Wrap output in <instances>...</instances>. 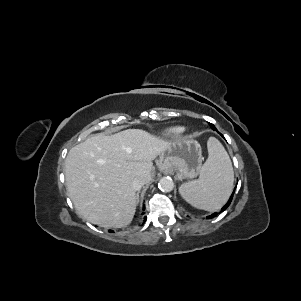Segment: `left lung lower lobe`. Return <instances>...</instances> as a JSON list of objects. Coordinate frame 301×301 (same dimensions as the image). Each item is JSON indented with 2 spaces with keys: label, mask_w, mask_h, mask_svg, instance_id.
I'll return each instance as SVG.
<instances>
[{
  "label": "left lung lower lobe",
  "mask_w": 301,
  "mask_h": 301,
  "mask_svg": "<svg viewBox=\"0 0 301 301\" xmlns=\"http://www.w3.org/2000/svg\"><path fill=\"white\" fill-rule=\"evenodd\" d=\"M214 130L217 131L216 128H215ZM234 192H235V191H233V193H232L230 199L228 200V202L222 207L221 212H222V211H225V210L228 208V206L230 205V203H231V201H232V198H233V195H234ZM216 216H217V213H213V214L207 216V218H208V219H211V218H214V217H216Z\"/></svg>",
  "instance_id": "0a47b994"
}]
</instances>
